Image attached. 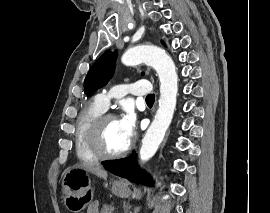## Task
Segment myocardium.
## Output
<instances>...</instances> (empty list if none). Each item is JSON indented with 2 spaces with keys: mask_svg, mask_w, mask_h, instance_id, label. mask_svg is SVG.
<instances>
[{
  "mask_svg": "<svg viewBox=\"0 0 270 213\" xmlns=\"http://www.w3.org/2000/svg\"><path fill=\"white\" fill-rule=\"evenodd\" d=\"M110 119H117V117L112 113L103 112L99 114L92 122L87 135V141L90 150L100 160L120 159L126 156L131 149V145L129 143L125 149L117 153H108L104 150L102 145V134L106 122Z\"/></svg>",
  "mask_w": 270,
  "mask_h": 213,
  "instance_id": "f54148a6",
  "label": "myocardium"
}]
</instances>
